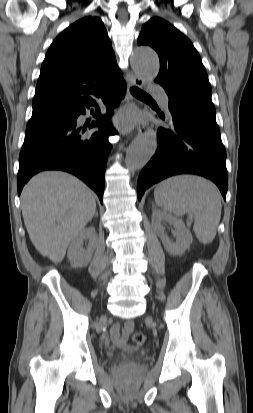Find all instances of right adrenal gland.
Masks as SVG:
<instances>
[{
  "label": "right adrenal gland",
  "mask_w": 253,
  "mask_h": 413,
  "mask_svg": "<svg viewBox=\"0 0 253 413\" xmlns=\"http://www.w3.org/2000/svg\"><path fill=\"white\" fill-rule=\"evenodd\" d=\"M95 216L98 217V212L96 211Z\"/></svg>",
  "instance_id": "1"
}]
</instances>
